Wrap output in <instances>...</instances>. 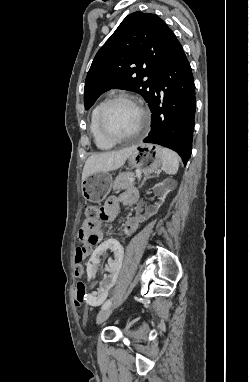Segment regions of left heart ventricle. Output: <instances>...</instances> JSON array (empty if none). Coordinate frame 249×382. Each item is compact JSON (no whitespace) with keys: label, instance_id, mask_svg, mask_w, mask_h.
Segmentation results:
<instances>
[{"label":"left heart ventricle","instance_id":"obj_1","mask_svg":"<svg viewBox=\"0 0 249 382\" xmlns=\"http://www.w3.org/2000/svg\"><path fill=\"white\" fill-rule=\"evenodd\" d=\"M140 112L129 102L112 104L105 115V125L114 136H128L136 132L140 123Z\"/></svg>","mask_w":249,"mask_h":382}]
</instances>
